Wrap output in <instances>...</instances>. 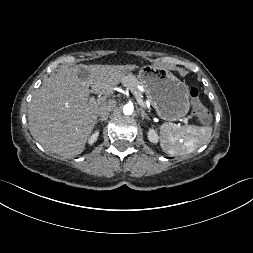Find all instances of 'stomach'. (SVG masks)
I'll list each match as a JSON object with an SVG mask.
<instances>
[{"mask_svg":"<svg viewBox=\"0 0 253 253\" xmlns=\"http://www.w3.org/2000/svg\"><path fill=\"white\" fill-rule=\"evenodd\" d=\"M146 98L164 121L174 122L190 110L188 86L169 70L155 65H144L138 76Z\"/></svg>","mask_w":253,"mask_h":253,"instance_id":"obj_1","label":"stomach"}]
</instances>
